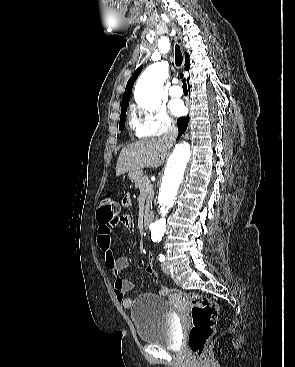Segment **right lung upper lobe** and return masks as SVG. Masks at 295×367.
Segmentation results:
<instances>
[{
    "label": "right lung upper lobe",
    "mask_w": 295,
    "mask_h": 367,
    "mask_svg": "<svg viewBox=\"0 0 295 367\" xmlns=\"http://www.w3.org/2000/svg\"><path fill=\"white\" fill-rule=\"evenodd\" d=\"M190 67V61L188 58V54H186V61H185V70H188ZM143 66H140L135 72L134 74L131 76V78L128 80L127 82V86H126V90L123 94V98H122V105L129 103L130 97H131V92H132V87L134 82L136 81L137 77L139 76L141 70H142ZM189 80V78H188ZM187 80V82H188Z\"/></svg>",
    "instance_id": "cb5924a9"
}]
</instances>
